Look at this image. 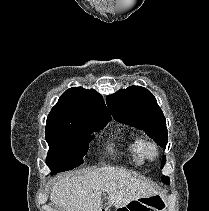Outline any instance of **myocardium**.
<instances>
[{"label": "myocardium", "instance_id": "1", "mask_svg": "<svg viewBox=\"0 0 209 211\" xmlns=\"http://www.w3.org/2000/svg\"><path fill=\"white\" fill-rule=\"evenodd\" d=\"M144 156L148 160H155L159 155V149L156 143L149 141L145 142L144 148H143Z\"/></svg>", "mask_w": 209, "mask_h": 211}]
</instances>
